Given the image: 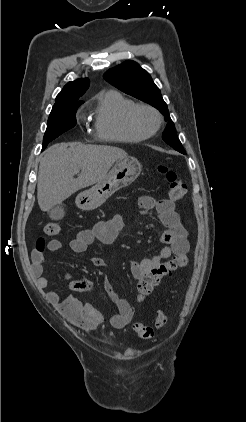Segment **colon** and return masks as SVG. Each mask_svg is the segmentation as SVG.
Instances as JSON below:
<instances>
[{
    "mask_svg": "<svg viewBox=\"0 0 246 422\" xmlns=\"http://www.w3.org/2000/svg\"><path fill=\"white\" fill-rule=\"evenodd\" d=\"M158 170L166 177L169 183L168 195L171 200L181 199L186 191V184L178 178L177 174L167 168L166 166H159ZM60 227L55 223H48L44 227V233L48 236H55L59 233ZM44 241L42 238L37 240L36 250L43 251ZM188 263L187 255H178L165 262H162L157 267L152 268L146 272L138 281V300L143 301L149 296L154 288L160 283V281L166 276L171 274L173 271L186 266ZM155 327L157 329H164L168 323L167 316L162 311H157L155 316ZM135 332L141 338H150L153 336V329L145 326L141 323H136L134 326Z\"/></svg>",
    "mask_w": 246,
    "mask_h": 422,
    "instance_id": "1",
    "label": "colon"
}]
</instances>
